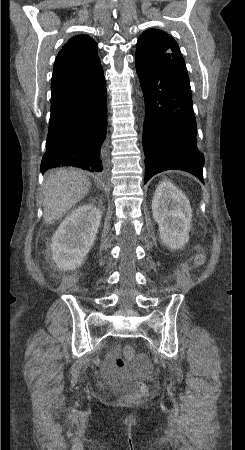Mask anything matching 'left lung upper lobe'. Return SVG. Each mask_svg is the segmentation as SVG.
<instances>
[{
  "mask_svg": "<svg viewBox=\"0 0 245 450\" xmlns=\"http://www.w3.org/2000/svg\"><path fill=\"white\" fill-rule=\"evenodd\" d=\"M137 65L151 71H164L191 94L186 65L178 44L170 35L157 29L143 32L135 53Z\"/></svg>",
  "mask_w": 245,
  "mask_h": 450,
  "instance_id": "1",
  "label": "left lung upper lobe"
}]
</instances>
